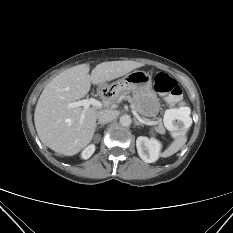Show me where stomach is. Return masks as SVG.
Wrapping results in <instances>:
<instances>
[{
	"label": "stomach",
	"instance_id": "obj_1",
	"mask_svg": "<svg viewBox=\"0 0 233 233\" xmlns=\"http://www.w3.org/2000/svg\"><path fill=\"white\" fill-rule=\"evenodd\" d=\"M103 88L116 95L131 92L136 110L145 117H155L159 113L160 101L152 89L151 76L145 71L130 72L111 85H104Z\"/></svg>",
	"mask_w": 233,
	"mask_h": 233
}]
</instances>
